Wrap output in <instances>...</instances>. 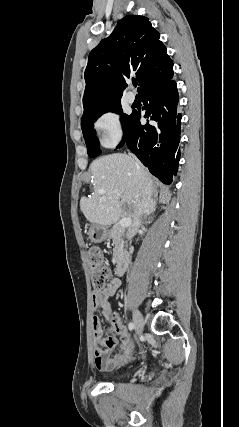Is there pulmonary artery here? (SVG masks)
<instances>
[{"mask_svg":"<svg viewBox=\"0 0 239 427\" xmlns=\"http://www.w3.org/2000/svg\"><path fill=\"white\" fill-rule=\"evenodd\" d=\"M126 99L129 103H133L135 101V95L132 92H128Z\"/></svg>","mask_w":239,"mask_h":427,"instance_id":"e3ab8cb5","label":"pulmonary artery"}]
</instances>
